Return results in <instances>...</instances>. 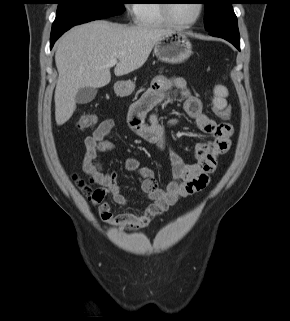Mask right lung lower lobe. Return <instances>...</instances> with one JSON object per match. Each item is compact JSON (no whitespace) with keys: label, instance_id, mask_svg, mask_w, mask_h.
<instances>
[{"label":"right lung lower lobe","instance_id":"1","mask_svg":"<svg viewBox=\"0 0 290 321\" xmlns=\"http://www.w3.org/2000/svg\"><path fill=\"white\" fill-rule=\"evenodd\" d=\"M71 27L73 26H69V27H66V28H62V29H52V32H51V37H50V48L53 47L55 41L64 33L66 32L67 30H69Z\"/></svg>","mask_w":290,"mask_h":321}]
</instances>
